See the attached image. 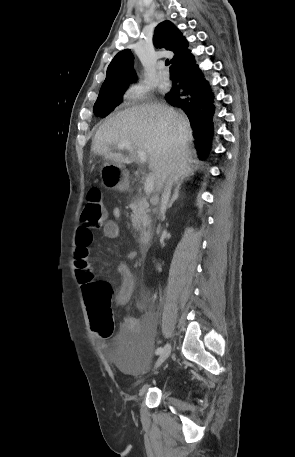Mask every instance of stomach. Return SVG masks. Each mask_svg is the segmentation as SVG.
Instances as JSON below:
<instances>
[{
	"mask_svg": "<svg viewBox=\"0 0 295 457\" xmlns=\"http://www.w3.org/2000/svg\"><path fill=\"white\" fill-rule=\"evenodd\" d=\"M101 179L108 189L125 191L129 187L128 172L120 163L107 160L101 167Z\"/></svg>",
	"mask_w": 295,
	"mask_h": 457,
	"instance_id": "1",
	"label": "stomach"
}]
</instances>
